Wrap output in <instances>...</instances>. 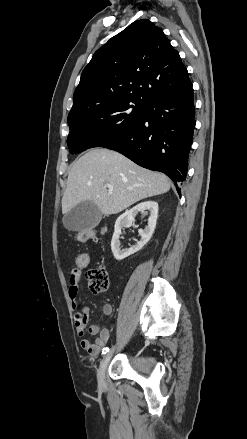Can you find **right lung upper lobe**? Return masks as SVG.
<instances>
[{
    "instance_id": "obj_1",
    "label": "right lung upper lobe",
    "mask_w": 247,
    "mask_h": 439,
    "mask_svg": "<svg viewBox=\"0 0 247 439\" xmlns=\"http://www.w3.org/2000/svg\"><path fill=\"white\" fill-rule=\"evenodd\" d=\"M191 85L163 31L147 19L138 20L95 52L81 74L68 117L115 101L148 104Z\"/></svg>"
}]
</instances>
